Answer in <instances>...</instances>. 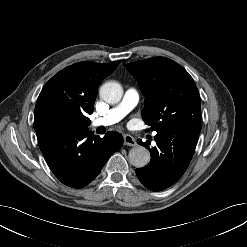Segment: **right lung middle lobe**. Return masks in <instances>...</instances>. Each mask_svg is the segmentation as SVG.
Returning a JSON list of instances; mask_svg holds the SVG:
<instances>
[{"label":"right lung middle lobe","mask_w":247,"mask_h":247,"mask_svg":"<svg viewBox=\"0 0 247 247\" xmlns=\"http://www.w3.org/2000/svg\"><path fill=\"white\" fill-rule=\"evenodd\" d=\"M82 127L74 120L67 117H56L47 124V131H74Z\"/></svg>","instance_id":"1"}]
</instances>
